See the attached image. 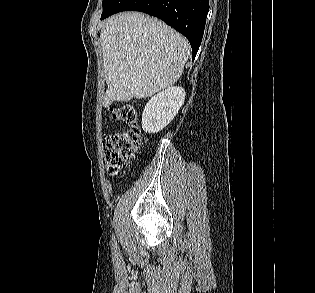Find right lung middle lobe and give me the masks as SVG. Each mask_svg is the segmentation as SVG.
<instances>
[{"mask_svg": "<svg viewBox=\"0 0 315 293\" xmlns=\"http://www.w3.org/2000/svg\"><path fill=\"white\" fill-rule=\"evenodd\" d=\"M112 0H103V13L102 15L106 12L109 4L111 3Z\"/></svg>", "mask_w": 315, "mask_h": 293, "instance_id": "dd1d6c3e", "label": "right lung middle lobe"}]
</instances>
